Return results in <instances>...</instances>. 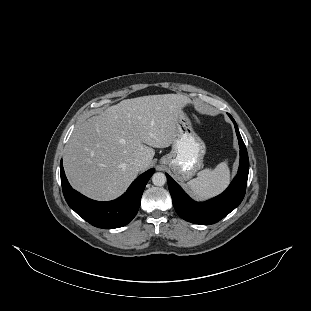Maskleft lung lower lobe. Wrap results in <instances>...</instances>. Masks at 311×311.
<instances>
[{
  "label": "left lung lower lobe",
  "instance_id": "left-lung-lower-lobe-1",
  "mask_svg": "<svg viewBox=\"0 0 311 311\" xmlns=\"http://www.w3.org/2000/svg\"><path fill=\"white\" fill-rule=\"evenodd\" d=\"M228 115L234 123L239 142L240 164L236 177L221 195L206 202H195L166 174L174 208L178 215L188 222L214 224L233 211L244 198L249 171L248 153L236 122L230 114Z\"/></svg>",
  "mask_w": 311,
  "mask_h": 311
}]
</instances>
